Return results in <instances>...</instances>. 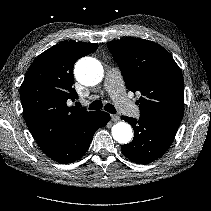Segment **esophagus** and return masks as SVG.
<instances>
[{"instance_id": "34e87169", "label": "esophagus", "mask_w": 211, "mask_h": 211, "mask_svg": "<svg viewBox=\"0 0 211 211\" xmlns=\"http://www.w3.org/2000/svg\"><path fill=\"white\" fill-rule=\"evenodd\" d=\"M111 120L117 122L120 120V116L119 115H111Z\"/></svg>"}]
</instances>
